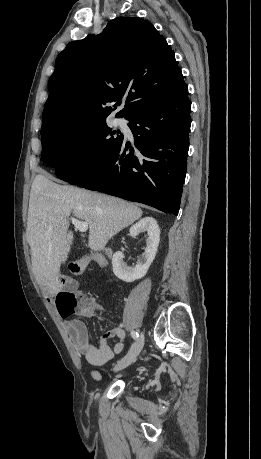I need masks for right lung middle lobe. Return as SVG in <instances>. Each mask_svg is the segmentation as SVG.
<instances>
[{
    "instance_id": "obj_1",
    "label": "right lung middle lobe",
    "mask_w": 261,
    "mask_h": 459,
    "mask_svg": "<svg viewBox=\"0 0 261 459\" xmlns=\"http://www.w3.org/2000/svg\"><path fill=\"white\" fill-rule=\"evenodd\" d=\"M123 139V134L112 131L106 120L56 126L41 132V158L56 168L58 178L71 182L107 160ZM68 145L79 146L67 149Z\"/></svg>"
}]
</instances>
